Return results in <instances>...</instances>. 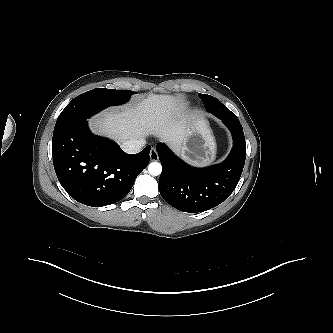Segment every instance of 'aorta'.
Listing matches in <instances>:
<instances>
[{
	"label": "aorta",
	"mask_w": 333,
	"mask_h": 333,
	"mask_svg": "<svg viewBox=\"0 0 333 333\" xmlns=\"http://www.w3.org/2000/svg\"><path fill=\"white\" fill-rule=\"evenodd\" d=\"M148 171L153 176H158L161 174L162 166L158 162H152L148 166Z\"/></svg>",
	"instance_id": "1"
}]
</instances>
